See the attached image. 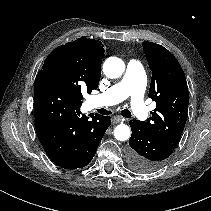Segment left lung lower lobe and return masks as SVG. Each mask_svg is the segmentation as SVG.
<instances>
[{
  "instance_id": "0a47b994",
  "label": "left lung lower lobe",
  "mask_w": 211,
  "mask_h": 211,
  "mask_svg": "<svg viewBox=\"0 0 211 211\" xmlns=\"http://www.w3.org/2000/svg\"><path fill=\"white\" fill-rule=\"evenodd\" d=\"M132 130L129 139L128 162L132 170L150 173L160 169L174 149L152 135L139 120H130Z\"/></svg>"
}]
</instances>
